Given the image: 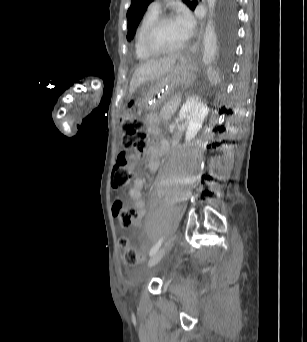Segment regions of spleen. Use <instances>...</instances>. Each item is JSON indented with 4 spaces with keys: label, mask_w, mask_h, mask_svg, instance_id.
I'll use <instances>...</instances> for the list:
<instances>
[{
    "label": "spleen",
    "mask_w": 307,
    "mask_h": 342,
    "mask_svg": "<svg viewBox=\"0 0 307 342\" xmlns=\"http://www.w3.org/2000/svg\"><path fill=\"white\" fill-rule=\"evenodd\" d=\"M209 76L211 77L210 78V83L211 84H218L219 83V78L217 77L218 76V71L215 70L214 66L210 67Z\"/></svg>",
    "instance_id": "1"
}]
</instances>
